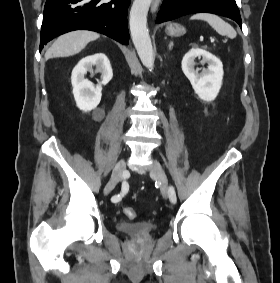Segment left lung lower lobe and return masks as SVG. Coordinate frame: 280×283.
I'll use <instances>...</instances> for the list:
<instances>
[{"instance_id":"obj_1","label":"left lung lower lobe","mask_w":280,"mask_h":283,"mask_svg":"<svg viewBox=\"0 0 280 283\" xmlns=\"http://www.w3.org/2000/svg\"><path fill=\"white\" fill-rule=\"evenodd\" d=\"M207 12L233 19L242 28L240 12L232 0H164L155 23L170 21L178 17Z\"/></svg>"}]
</instances>
